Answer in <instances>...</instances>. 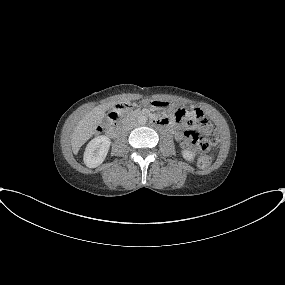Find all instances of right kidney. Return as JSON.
<instances>
[{"label": "right kidney", "mask_w": 285, "mask_h": 285, "mask_svg": "<svg viewBox=\"0 0 285 285\" xmlns=\"http://www.w3.org/2000/svg\"><path fill=\"white\" fill-rule=\"evenodd\" d=\"M111 140L105 135L92 139L84 152V163L89 168H95L102 164L109 151Z\"/></svg>", "instance_id": "obj_1"}]
</instances>
